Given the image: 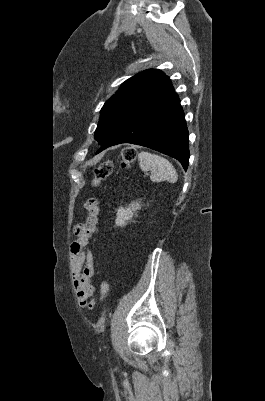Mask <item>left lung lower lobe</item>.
Here are the masks:
<instances>
[{
  "label": "left lung lower lobe",
  "instance_id": "left-lung-lower-lobe-1",
  "mask_svg": "<svg viewBox=\"0 0 265 401\" xmlns=\"http://www.w3.org/2000/svg\"><path fill=\"white\" fill-rule=\"evenodd\" d=\"M131 143L177 159L186 170L189 163L188 130L180 100L173 86L131 116L110 136L97 153L107 147Z\"/></svg>",
  "mask_w": 265,
  "mask_h": 401
}]
</instances>
